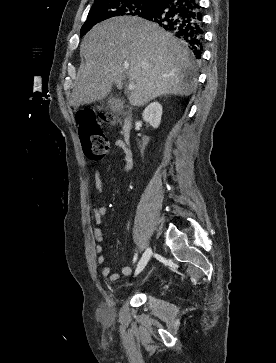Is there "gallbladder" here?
Returning <instances> with one entry per match:
<instances>
[{"instance_id": "gallbladder-1", "label": "gallbladder", "mask_w": 276, "mask_h": 363, "mask_svg": "<svg viewBox=\"0 0 276 363\" xmlns=\"http://www.w3.org/2000/svg\"><path fill=\"white\" fill-rule=\"evenodd\" d=\"M108 106L112 111L118 112L123 108V103L120 99L110 96L108 98Z\"/></svg>"}]
</instances>
